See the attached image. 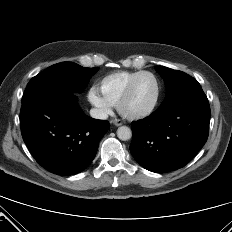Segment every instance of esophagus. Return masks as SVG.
Segmentation results:
<instances>
[{
    "instance_id": "34e87169",
    "label": "esophagus",
    "mask_w": 232,
    "mask_h": 232,
    "mask_svg": "<svg viewBox=\"0 0 232 232\" xmlns=\"http://www.w3.org/2000/svg\"><path fill=\"white\" fill-rule=\"evenodd\" d=\"M112 123H113L115 126H120V125H122V121H121V120H118V119L112 120Z\"/></svg>"
}]
</instances>
